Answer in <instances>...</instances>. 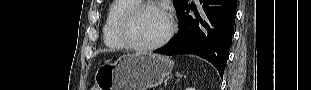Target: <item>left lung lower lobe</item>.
<instances>
[{"mask_svg": "<svg viewBox=\"0 0 311 90\" xmlns=\"http://www.w3.org/2000/svg\"><path fill=\"white\" fill-rule=\"evenodd\" d=\"M202 4L189 15L190 5L178 14L180 31L166 46L155 50L164 55L194 54L210 63L223 76L234 31L237 0H200Z\"/></svg>", "mask_w": 311, "mask_h": 90, "instance_id": "obj_1", "label": "left lung lower lobe"}]
</instances>
